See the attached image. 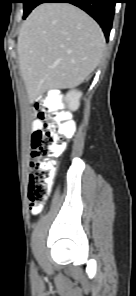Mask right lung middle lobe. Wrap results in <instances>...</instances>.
<instances>
[{
	"mask_svg": "<svg viewBox=\"0 0 136 296\" xmlns=\"http://www.w3.org/2000/svg\"><path fill=\"white\" fill-rule=\"evenodd\" d=\"M39 0H22L24 4V15L23 19L27 17V15L38 5Z\"/></svg>",
	"mask_w": 136,
	"mask_h": 296,
	"instance_id": "right-lung-middle-lobe-1",
	"label": "right lung middle lobe"
}]
</instances>
